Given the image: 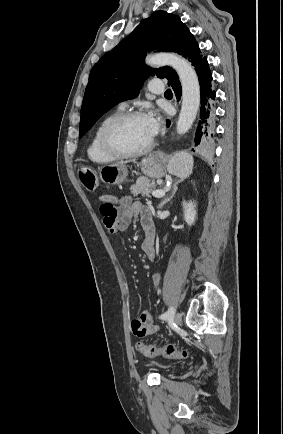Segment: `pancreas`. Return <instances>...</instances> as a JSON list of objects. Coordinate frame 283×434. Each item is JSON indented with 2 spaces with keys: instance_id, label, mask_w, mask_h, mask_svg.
<instances>
[{
  "instance_id": "cf45deb5",
  "label": "pancreas",
  "mask_w": 283,
  "mask_h": 434,
  "mask_svg": "<svg viewBox=\"0 0 283 434\" xmlns=\"http://www.w3.org/2000/svg\"><path fill=\"white\" fill-rule=\"evenodd\" d=\"M155 182L150 181L146 177H139L134 185L131 186L130 190L133 196L141 194L142 196H149V194L155 188Z\"/></svg>"
}]
</instances>
